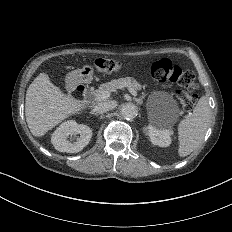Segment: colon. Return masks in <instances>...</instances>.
Here are the masks:
<instances>
[{
	"instance_id": "obj_1",
	"label": "colon",
	"mask_w": 232,
	"mask_h": 232,
	"mask_svg": "<svg viewBox=\"0 0 232 232\" xmlns=\"http://www.w3.org/2000/svg\"><path fill=\"white\" fill-rule=\"evenodd\" d=\"M119 62L114 59L105 60L98 58L92 66L97 73H117ZM151 75L156 82H178V86H185L183 94L179 97V102H185L180 107L181 111H194V102H199V97H194L198 86H193L197 82L195 74L188 70L175 68L174 63L169 59L155 62L151 67Z\"/></svg>"
}]
</instances>
